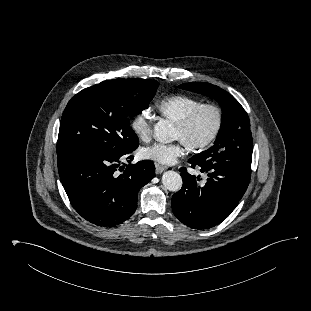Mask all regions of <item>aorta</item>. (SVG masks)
I'll use <instances>...</instances> for the list:
<instances>
[{
    "label": "aorta",
    "instance_id": "obj_1",
    "mask_svg": "<svg viewBox=\"0 0 311 311\" xmlns=\"http://www.w3.org/2000/svg\"><path fill=\"white\" fill-rule=\"evenodd\" d=\"M153 137L161 143H170L174 140V128L169 121L160 120L154 127ZM164 187L172 192H176L182 187V178L175 171H166L162 175Z\"/></svg>",
    "mask_w": 311,
    "mask_h": 311
}]
</instances>
